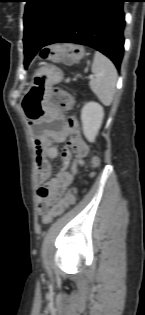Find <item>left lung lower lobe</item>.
Masks as SVG:
<instances>
[{
  "mask_svg": "<svg viewBox=\"0 0 145 315\" xmlns=\"http://www.w3.org/2000/svg\"><path fill=\"white\" fill-rule=\"evenodd\" d=\"M124 2L126 0H74L45 41L30 33L24 35L25 67L43 47L64 42L100 51L119 70L124 53Z\"/></svg>",
  "mask_w": 145,
  "mask_h": 315,
  "instance_id": "obj_1",
  "label": "left lung lower lobe"
}]
</instances>
